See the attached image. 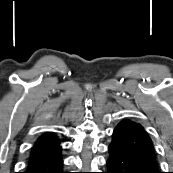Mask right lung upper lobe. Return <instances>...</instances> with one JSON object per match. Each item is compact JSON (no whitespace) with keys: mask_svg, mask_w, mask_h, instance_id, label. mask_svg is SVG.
<instances>
[{"mask_svg":"<svg viewBox=\"0 0 173 173\" xmlns=\"http://www.w3.org/2000/svg\"><path fill=\"white\" fill-rule=\"evenodd\" d=\"M59 144V140L52 132L41 135L35 142L32 149L44 148Z\"/></svg>","mask_w":173,"mask_h":173,"instance_id":"cb5924a9","label":"right lung upper lobe"}]
</instances>
